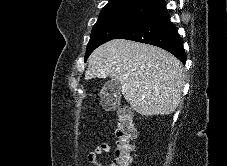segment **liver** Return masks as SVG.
Returning a JSON list of instances; mask_svg holds the SVG:
<instances>
[{
    "mask_svg": "<svg viewBox=\"0 0 227 166\" xmlns=\"http://www.w3.org/2000/svg\"><path fill=\"white\" fill-rule=\"evenodd\" d=\"M111 77L143 116L169 115L178 107L185 84L184 68L172 54L156 46L116 39L95 49L85 80Z\"/></svg>",
    "mask_w": 227,
    "mask_h": 166,
    "instance_id": "6515ba94",
    "label": "liver"
}]
</instances>
